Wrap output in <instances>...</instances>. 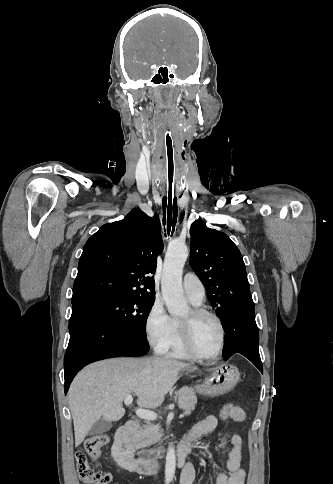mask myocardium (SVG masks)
<instances>
[{"mask_svg":"<svg viewBox=\"0 0 333 484\" xmlns=\"http://www.w3.org/2000/svg\"><path fill=\"white\" fill-rule=\"evenodd\" d=\"M210 317L212 318L218 325L220 331V341L219 346L216 352L211 356H204L200 354L194 344L193 339V325L196 320L201 317ZM179 326H180V334L183 341V344L188 351V353L195 359L205 361V362H212L219 358L222 354L225 346V339H226V330L223 324L222 319L213 311L208 310L203 307H194L190 310L189 316L184 319H179Z\"/></svg>","mask_w":333,"mask_h":484,"instance_id":"f54148a6","label":"myocardium"}]
</instances>
